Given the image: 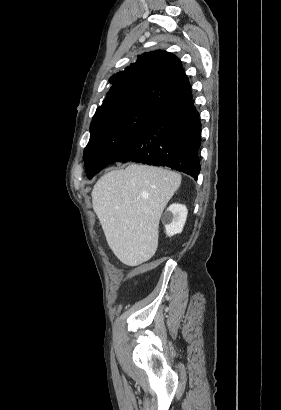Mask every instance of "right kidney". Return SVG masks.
I'll use <instances>...</instances> for the list:
<instances>
[{"instance_id":"right-kidney-1","label":"right kidney","mask_w":281,"mask_h":410,"mask_svg":"<svg viewBox=\"0 0 281 410\" xmlns=\"http://www.w3.org/2000/svg\"><path fill=\"white\" fill-rule=\"evenodd\" d=\"M188 210L185 205L172 204L163 215L162 221L165 224L166 234L173 236L181 233L186 222Z\"/></svg>"}]
</instances>
